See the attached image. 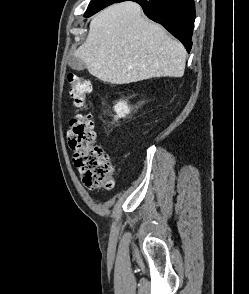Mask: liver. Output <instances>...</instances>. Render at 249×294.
Returning a JSON list of instances; mask_svg holds the SVG:
<instances>
[{
	"label": "liver",
	"instance_id": "liver-1",
	"mask_svg": "<svg viewBox=\"0 0 249 294\" xmlns=\"http://www.w3.org/2000/svg\"><path fill=\"white\" fill-rule=\"evenodd\" d=\"M89 73L101 81L127 84L153 77H182L186 50L165 29L127 1L100 11L86 41L75 52Z\"/></svg>",
	"mask_w": 249,
	"mask_h": 294
}]
</instances>
